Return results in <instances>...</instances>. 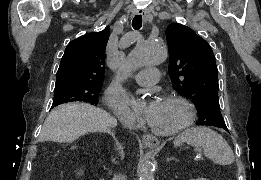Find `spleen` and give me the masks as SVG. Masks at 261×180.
I'll list each match as a JSON object with an SVG mask.
<instances>
[{"label":"spleen","instance_id":"3e777b00","mask_svg":"<svg viewBox=\"0 0 261 180\" xmlns=\"http://www.w3.org/2000/svg\"><path fill=\"white\" fill-rule=\"evenodd\" d=\"M176 142H187L191 146H196V148H201L203 154L206 158L212 160L214 164L218 166H229L234 162V154L227 144L226 140L211 130V128H204V126H199V128H188L184 130L181 134H178Z\"/></svg>","mask_w":261,"mask_h":180}]
</instances>
